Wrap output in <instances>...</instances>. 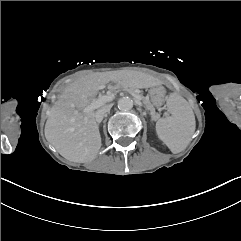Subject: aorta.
<instances>
[{"label": "aorta", "instance_id": "1", "mask_svg": "<svg viewBox=\"0 0 241 241\" xmlns=\"http://www.w3.org/2000/svg\"><path fill=\"white\" fill-rule=\"evenodd\" d=\"M118 108L121 111H129L133 108V100L130 97H123L118 101Z\"/></svg>", "mask_w": 241, "mask_h": 241}]
</instances>
